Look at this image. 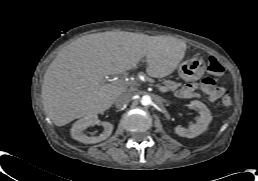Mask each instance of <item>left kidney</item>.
Returning a JSON list of instances; mask_svg holds the SVG:
<instances>
[{"label": "left kidney", "mask_w": 258, "mask_h": 181, "mask_svg": "<svg viewBox=\"0 0 258 181\" xmlns=\"http://www.w3.org/2000/svg\"><path fill=\"white\" fill-rule=\"evenodd\" d=\"M190 105L199 111L200 117L196 120L195 124L190 125L188 128L181 126L175 127V133L181 137L194 138L202 134L207 130L209 123L212 121L211 112L204 103L193 100L190 102Z\"/></svg>", "instance_id": "1"}]
</instances>
